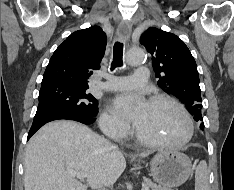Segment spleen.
I'll return each instance as SVG.
<instances>
[{"instance_id": "spleen-1", "label": "spleen", "mask_w": 234, "mask_h": 190, "mask_svg": "<svg viewBox=\"0 0 234 190\" xmlns=\"http://www.w3.org/2000/svg\"><path fill=\"white\" fill-rule=\"evenodd\" d=\"M208 168L205 161H200L195 172V190H210Z\"/></svg>"}]
</instances>
